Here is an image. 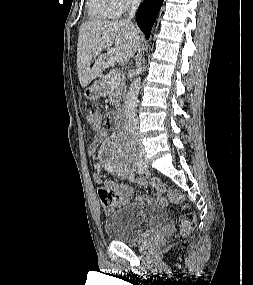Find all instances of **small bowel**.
Instances as JSON below:
<instances>
[{"label":"small bowel","instance_id":"obj_1","mask_svg":"<svg viewBox=\"0 0 253 285\" xmlns=\"http://www.w3.org/2000/svg\"><path fill=\"white\" fill-rule=\"evenodd\" d=\"M110 118H111V113H108V110L104 109L103 113H100V122H101L100 126H111ZM100 126L92 127L93 129L96 130V134L91 144L88 147L89 154H94L97 151L101 142L107 136V132H108L107 129L100 128ZM96 180L97 182L102 183L103 187L111 188L117 191L123 199L128 198L133 195L132 188L126 184L117 183L113 181L102 182L98 176H96ZM138 182L140 184L146 183V181L143 178H139ZM150 184L155 190V196L153 197L140 196L138 197V200L142 202H148V203H153V204L162 205V206L166 205L167 204V200L165 198L166 189L163 183L158 178H152L150 180ZM108 208L109 207H107V209Z\"/></svg>","mask_w":253,"mask_h":285}]
</instances>
